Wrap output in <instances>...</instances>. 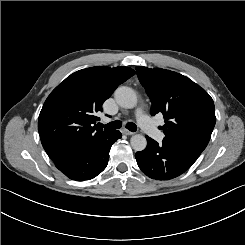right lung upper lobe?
<instances>
[{"mask_svg":"<svg viewBox=\"0 0 245 245\" xmlns=\"http://www.w3.org/2000/svg\"><path fill=\"white\" fill-rule=\"evenodd\" d=\"M134 74L129 67H91L71 74L51 92L40 112L38 131L53 161L67 149L112 131L99 128L96 115L113 91Z\"/></svg>","mask_w":245,"mask_h":245,"instance_id":"1","label":"right lung upper lobe"}]
</instances>
